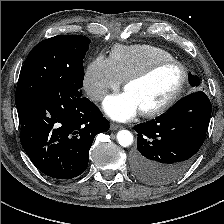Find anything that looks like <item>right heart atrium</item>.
<instances>
[{"label":"right heart atrium","instance_id":"1","mask_svg":"<svg viewBox=\"0 0 224 224\" xmlns=\"http://www.w3.org/2000/svg\"><path fill=\"white\" fill-rule=\"evenodd\" d=\"M121 83L110 58L102 55L94 58L85 70L83 87L92 101L102 100L109 91L117 90Z\"/></svg>","mask_w":224,"mask_h":224}]
</instances>
